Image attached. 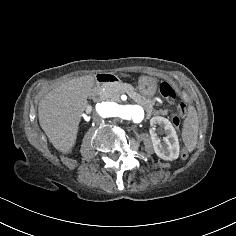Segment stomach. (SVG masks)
I'll use <instances>...</instances> for the list:
<instances>
[{
	"label": "stomach",
	"instance_id": "0dacf381",
	"mask_svg": "<svg viewBox=\"0 0 236 236\" xmlns=\"http://www.w3.org/2000/svg\"><path fill=\"white\" fill-rule=\"evenodd\" d=\"M158 80L153 76L141 75L138 80L140 93L152 95L157 88Z\"/></svg>",
	"mask_w": 236,
	"mask_h": 236
}]
</instances>
